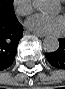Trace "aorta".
<instances>
[{
    "label": "aorta",
    "mask_w": 65,
    "mask_h": 89,
    "mask_svg": "<svg viewBox=\"0 0 65 89\" xmlns=\"http://www.w3.org/2000/svg\"><path fill=\"white\" fill-rule=\"evenodd\" d=\"M33 6L36 10L40 12H48L51 7V2L49 0H34ZM59 48V41L55 36H47L43 40V49L52 53L57 51Z\"/></svg>",
    "instance_id": "1"
}]
</instances>
